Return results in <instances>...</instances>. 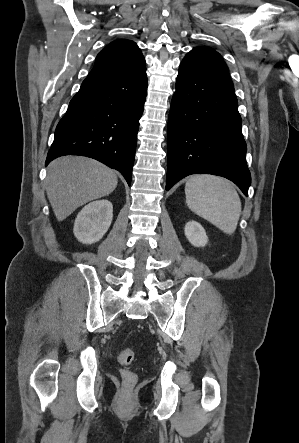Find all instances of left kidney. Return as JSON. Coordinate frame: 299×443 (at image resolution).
I'll list each match as a JSON object with an SVG mask.
<instances>
[{"label": "left kidney", "mask_w": 299, "mask_h": 443, "mask_svg": "<svg viewBox=\"0 0 299 443\" xmlns=\"http://www.w3.org/2000/svg\"><path fill=\"white\" fill-rule=\"evenodd\" d=\"M184 233L193 246L204 247L208 242V237L204 228L196 221L187 222L184 228Z\"/></svg>", "instance_id": "obj_1"}]
</instances>
